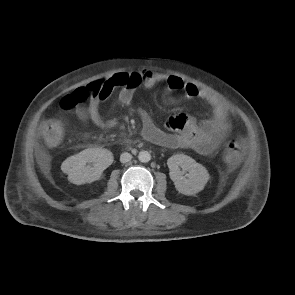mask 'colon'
I'll return each mask as SVG.
<instances>
[{
    "instance_id": "5ec220e1",
    "label": "colon",
    "mask_w": 295,
    "mask_h": 295,
    "mask_svg": "<svg viewBox=\"0 0 295 295\" xmlns=\"http://www.w3.org/2000/svg\"><path fill=\"white\" fill-rule=\"evenodd\" d=\"M138 83L136 75L119 73L106 80L96 82L92 87H79L62 100L64 109H73L80 103L87 101L94 95L111 93L116 89H124ZM41 135L49 146L58 145L63 138V127L57 120H47L40 127ZM244 155V144L239 137H230L226 142L224 157L229 164H237Z\"/></svg>"
}]
</instances>
